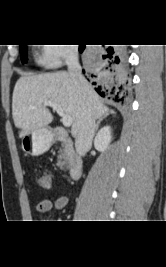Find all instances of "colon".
I'll return each instance as SVG.
<instances>
[{
	"mask_svg": "<svg viewBox=\"0 0 166 267\" xmlns=\"http://www.w3.org/2000/svg\"><path fill=\"white\" fill-rule=\"evenodd\" d=\"M38 184L42 188H48L51 184V176L48 172H42L38 177Z\"/></svg>",
	"mask_w": 166,
	"mask_h": 267,
	"instance_id": "obj_1",
	"label": "colon"
}]
</instances>
